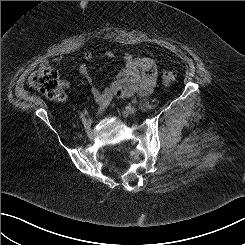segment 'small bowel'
<instances>
[{
    "mask_svg": "<svg viewBox=\"0 0 245 245\" xmlns=\"http://www.w3.org/2000/svg\"><path fill=\"white\" fill-rule=\"evenodd\" d=\"M85 60L91 59L90 52L83 55ZM109 58L113 54H108ZM62 57L56 55L53 57V62H60ZM124 68L118 73L111 84L105 89H100L92 82L91 74L86 65H81L78 69L79 74L84 77L91 85V93L99 105L98 115H101L110 104L111 100L115 97L128 98L133 95H149L156 84V66L152 59L148 57L133 56L126 54L123 58ZM61 86L66 89L69 87V82L63 80ZM65 94L63 93L59 100H64Z\"/></svg>",
    "mask_w": 245,
    "mask_h": 245,
    "instance_id": "1",
    "label": "small bowel"
}]
</instances>
